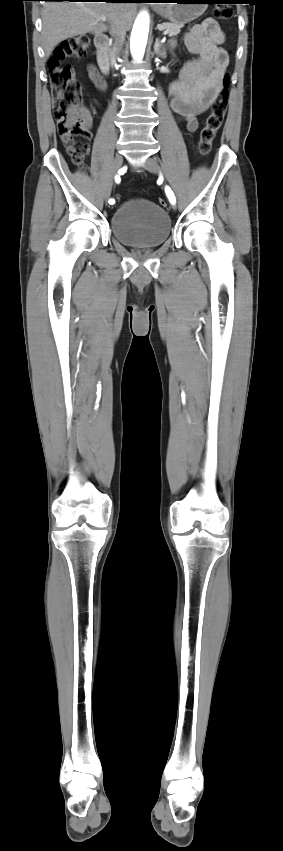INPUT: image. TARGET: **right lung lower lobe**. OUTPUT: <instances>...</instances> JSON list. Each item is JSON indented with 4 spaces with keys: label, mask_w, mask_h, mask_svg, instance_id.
<instances>
[{
    "label": "right lung lower lobe",
    "mask_w": 283,
    "mask_h": 851,
    "mask_svg": "<svg viewBox=\"0 0 283 851\" xmlns=\"http://www.w3.org/2000/svg\"><path fill=\"white\" fill-rule=\"evenodd\" d=\"M45 1H78V0H45ZM89 1V0H79ZM106 2H145V0H105Z\"/></svg>",
    "instance_id": "98d812e1"
}]
</instances>
